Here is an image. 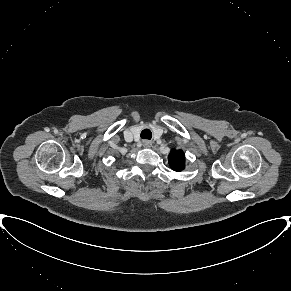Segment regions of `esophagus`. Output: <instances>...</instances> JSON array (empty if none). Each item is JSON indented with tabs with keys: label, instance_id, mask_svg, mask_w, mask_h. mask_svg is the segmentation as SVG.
<instances>
[{
	"label": "esophagus",
	"instance_id": "esophagus-1",
	"mask_svg": "<svg viewBox=\"0 0 291 291\" xmlns=\"http://www.w3.org/2000/svg\"><path fill=\"white\" fill-rule=\"evenodd\" d=\"M143 146L145 148H150L152 146V142L150 140H143Z\"/></svg>",
	"mask_w": 291,
	"mask_h": 291
}]
</instances>
